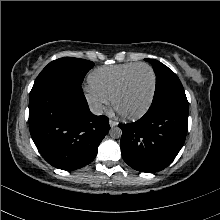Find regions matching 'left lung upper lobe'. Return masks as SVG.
I'll return each mask as SVG.
<instances>
[{"mask_svg": "<svg viewBox=\"0 0 220 220\" xmlns=\"http://www.w3.org/2000/svg\"><path fill=\"white\" fill-rule=\"evenodd\" d=\"M145 60L152 63L156 74V89L149 109L160 106H172L188 112V101L177 75L157 60Z\"/></svg>", "mask_w": 220, "mask_h": 220, "instance_id": "1", "label": "left lung upper lobe"}]
</instances>
